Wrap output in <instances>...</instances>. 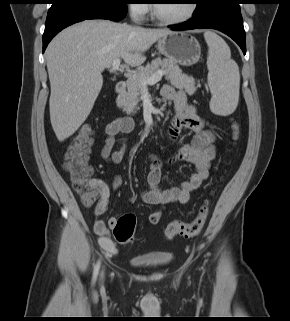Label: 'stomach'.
<instances>
[{
  "instance_id": "1",
  "label": "stomach",
  "mask_w": 290,
  "mask_h": 321,
  "mask_svg": "<svg viewBox=\"0 0 290 321\" xmlns=\"http://www.w3.org/2000/svg\"><path fill=\"white\" fill-rule=\"evenodd\" d=\"M157 48L162 55L182 66L194 65L201 55L199 42L188 32L169 33L159 39Z\"/></svg>"
}]
</instances>
